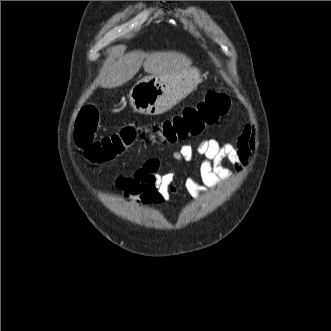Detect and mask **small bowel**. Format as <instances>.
I'll return each instance as SVG.
<instances>
[{"label":"small bowel","mask_w":331,"mask_h":331,"mask_svg":"<svg viewBox=\"0 0 331 331\" xmlns=\"http://www.w3.org/2000/svg\"><path fill=\"white\" fill-rule=\"evenodd\" d=\"M255 145V130L253 126L246 125L235 145L220 144L214 139H202L195 147L182 145L173 153V158L183 162L192 161L196 155L202 158L197 169L201 184L193 176L185 181L188 192L193 196H200L233 177L232 171L222 166L224 160L229 161L237 172L243 171ZM160 167L159 159L149 158L131 175L117 176L115 184L125 198L137 204H160L176 192L174 174L161 173Z\"/></svg>","instance_id":"1"}]
</instances>
